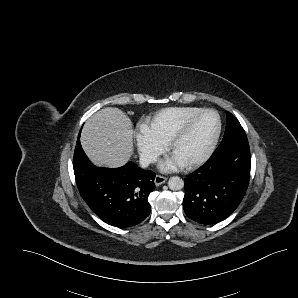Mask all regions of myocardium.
Here are the masks:
<instances>
[{
  "instance_id": "f54148a6",
  "label": "myocardium",
  "mask_w": 298,
  "mask_h": 298,
  "mask_svg": "<svg viewBox=\"0 0 298 298\" xmlns=\"http://www.w3.org/2000/svg\"><path fill=\"white\" fill-rule=\"evenodd\" d=\"M205 114H211L215 118L216 122V129L214 132L213 137L211 140L208 142L204 150L193 160L185 164L187 167H193L198 164H201L204 162L209 155L211 154L216 142L218 141V138L220 136V131H221V122L218 114L210 109H202L201 111H198L194 113L193 115L187 117L184 119L182 122H180L178 125L174 127V129L171 131V133L167 136L166 141L168 144V152L170 153L173 146L177 142V140L183 135V133L189 128V126L200 116L205 115Z\"/></svg>"
}]
</instances>
